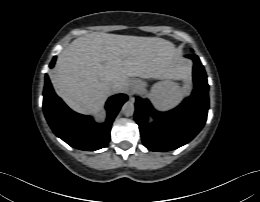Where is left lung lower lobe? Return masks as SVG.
<instances>
[{"label": "left lung lower lobe", "instance_id": "0a47b994", "mask_svg": "<svg viewBox=\"0 0 260 202\" xmlns=\"http://www.w3.org/2000/svg\"><path fill=\"white\" fill-rule=\"evenodd\" d=\"M194 61V90L178 107L168 112L156 111L150 102L136 99L135 121L139 125L143 144L152 151H170L191 141L204 126L209 109L208 83L199 58L187 55ZM148 116L154 118L148 123Z\"/></svg>", "mask_w": 260, "mask_h": 202}]
</instances>
